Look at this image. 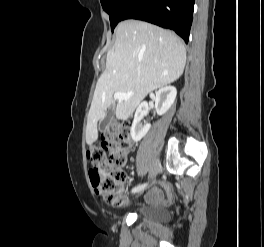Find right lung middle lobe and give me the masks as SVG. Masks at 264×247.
I'll list each match as a JSON object with an SVG mask.
<instances>
[{"label":"right lung middle lobe","mask_w":264,"mask_h":247,"mask_svg":"<svg viewBox=\"0 0 264 247\" xmlns=\"http://www.w3.org/2000/svg\"><path fill=\"white\" fill-rule=\"evenodd\" d=\"M105 12L109 14L111 30L122 20L127 8L134 0H100Z\"/></svg>","instance_id":"obj_1"}]
</instances>
